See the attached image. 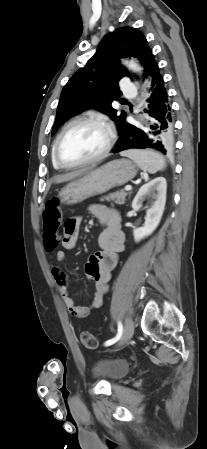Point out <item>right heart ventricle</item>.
Wrapping results in <instances>:
<instances>
[{
  "label": "right heart ventricle",
  "mask_w": 207,
  "mask_h": 449,
  "mask_svg": "<svg viewBox=\"0 0 207 449\" xmlns=\"http://www.w3.org/2000/svg\"><path fill=\"white\" fill-rule=\"evenodd\" d=\"M53 150H54V144L52 145V151H51V160H52V164H53V166H54L55 169H61L62 167H60V166L57 164V162H56V160H55V158H54V152H53Z\"/></svg>",
  "instance_id": "right-heart-ventricle-1"
}]
</instances>
